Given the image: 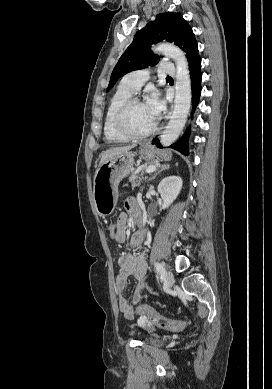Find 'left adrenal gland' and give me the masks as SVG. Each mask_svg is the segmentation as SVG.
Returning a JSON list of instances; mask_svg holds the SVG:
<instances>
[{"instance_id": "a2214340", "label": "left adrenal gland", "mask_w": 272, "mask_h": 389, "mask_svg": "<svg viewBox=\"0 0 272 389\" xmlns=\"http://www.w3.org/2000/svg\"><path fill=\"white\" fill-rule=\"evenodd\" d=\"M170 168V166L168 164H162L160 169L149 179V180H153L155 179V177L161 173L162 171H165V170H168Z\"/></svg>"}]
</instances>
